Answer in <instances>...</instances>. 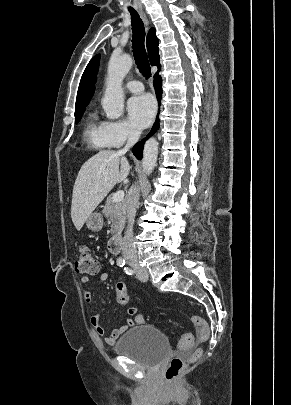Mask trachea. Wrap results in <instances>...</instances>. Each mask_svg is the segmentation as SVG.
I'll use <instances>...</instances> for the list:
<instances>
[{
	"mask_svg": "<svg viewBox=\"0 0 291 405\" xmlns=\"http://www.w3.org/2000/svg\"><path fill=\"white\" fill-rule=\"evenodd\" d=\"M132 24V48L135 62L141 74L149 78L151 77V68L148 61V56L144 46L145 28L139 14L136 11H130Z\"/></svg>",
	"mask_w": 291,
	"mask_h": 405,
	"instance_id": "trachea-1",
	"label": "trachea"
}]
</instances>
